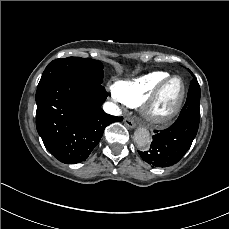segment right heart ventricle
I'll return each instance as SVG.
<instances>
[{
    "label": "right heart ventricle",
    "mask_w": 229,
    "mask_h": 229,
    "mask_svg": "<svg viewBox=\"0 0 229 229\" xmlns=\"http://www.w3.org/2000/svg\"><path fill=\"white\" fill-rule=\"evenodd\" d=\"M171 76L169 72L155 70L120 80L114 87V95L126 104H138L143 102V97L147 96L153 86Z\"/></svg>",
    "instance_id": "obj_1"
}]
</instances>
